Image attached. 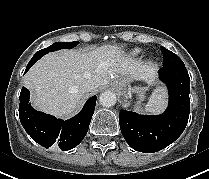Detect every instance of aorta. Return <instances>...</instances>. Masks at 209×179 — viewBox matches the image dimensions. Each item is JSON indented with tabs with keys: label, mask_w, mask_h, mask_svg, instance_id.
I'll use <instances>...</instances> for the list:
<instances>
[{
	"label": "aorta",
	"mask_w": 209,
	"mask_h": 179,
	"mask_svg": "<svg viewBox=\"0 0 209 179\" xmlns=\"http://www.w3.org/2000/svg\"><path fill=\"white\" fill-rule=\"evenodd\" d=\"M99 99L100 104L104 107H111L116 103V95L111 91L103 92Z\"/></svg>",
	"instance_id": "1"
}]
</instances>
